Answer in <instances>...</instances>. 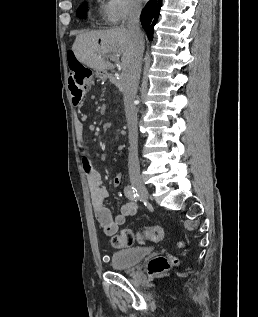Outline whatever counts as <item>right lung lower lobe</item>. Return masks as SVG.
Returning <instances> with one entry per match:
<instances>
[{"mask_svg":"<svg viewBox=\"0 0 258 317\" xmlns=\"http://www.w3.org/2000/svg\"><path fill=\"white\" fill-rule=\"evenodd\" d=\"M162 0H150L142 10L140 20L149 40L153 39V28L157 22Z\"/></svg>","mask_w":258,"mask_h":317,"instance_id":"obj_1","label":"right lung lower lobe"}]
</instances>
